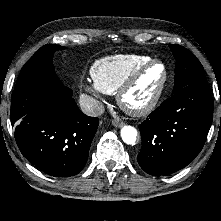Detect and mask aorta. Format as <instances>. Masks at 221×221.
Listing matches in <instances>:
<instances>
[{
  "instance_id": "obj_1",
  "label": "aorta",
  "mask_w": 221,
  "mask_h": 221,
  "mask_svg": "<svg viewBox=\"0 0 221 221\" xmlns=\"http://www.w3.org/2000/svg\"><path fill=\"white\" fill-rule=\"evenodd\" d=\"M120 134H121L122 140L126 144L135 145L138 133L134 127H132L130 125L123 126L121 128Z\"/></svg>"
}]
</instances>
